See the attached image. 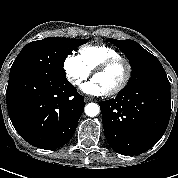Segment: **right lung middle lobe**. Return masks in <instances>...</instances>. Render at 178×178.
<instances>
[{"instance_id": "1", "label": "right lung middle lobe", "mask_w": 178, "mask_h": 178, "mask_svg": "<svg viewBox=\"0 0 178 178\" xmlns=\"http://www.w3.org/2000/svg\"><path fill=\"white\" fill-rule=\"evenodd\" d=\"M86 42L87 39L48 37L28 43L12 64L9 77L48 73L66 77L63 64L67 55Z\"/></svg>"}]
</instances>
